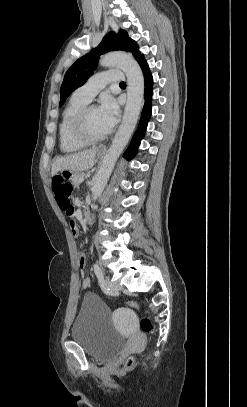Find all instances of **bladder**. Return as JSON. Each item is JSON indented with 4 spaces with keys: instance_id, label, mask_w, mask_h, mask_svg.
<instances>
[{
    "instance_id": "31cf9c89",
    "label": "bladder",
    "mask_w": 247,
    "mask_h": 407,
    "mask_svg": "<svg viewBox=\"0 0 247 407\" xmlns=\"http://www.w3.org/2000/svg\"><path fill=\"white\" fill-rule=\"evenodd\" d=\"M71 338L96 360L117 356L125 346L126 337L112 323V311L100 297L83 296L80 312L73 324Z\"/></svg>"
}]
</instances>
